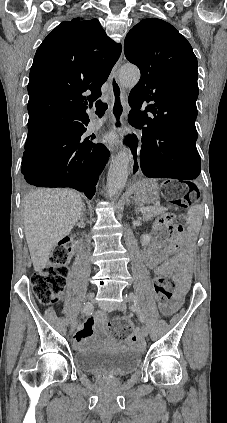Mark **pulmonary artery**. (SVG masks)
Listing matches in <instances>:
<instances>
[{
	"label": "pulmonary artery",
	"mask_w": 227,
	"mask_h": 423,
	"mask_svg": "<svg viewBox=\"0 0 227 423\" xmlns=\"http://www.w3.org/2000/svg\"><path fill=\"white\" fill-rule=\"evenodd\" d=\"M104 121L102 119H94L90 121V128L97 129L103 125Z\"/></svg>",
	"instance_id": "pulmonary-artery-1"
}]
</instances>
